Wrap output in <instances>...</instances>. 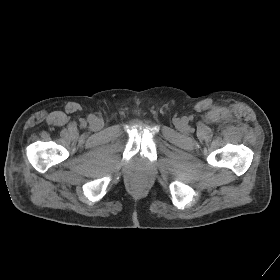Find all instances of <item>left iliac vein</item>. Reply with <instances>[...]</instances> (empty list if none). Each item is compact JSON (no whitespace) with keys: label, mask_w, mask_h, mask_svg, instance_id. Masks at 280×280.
Instances as JSON below:
<instances>
[{"label":"left iliac vein","mask_w":280,"mask_h":280,"mask_svg":"<svg viewBox=\"0 0 280 280\" xmlns=\"http://www.w3.org/2000/svg\"><path fill=\"white\" fill-rule=\"evenodd\" d=\"M176 126L180 131H185L187 129V125L183 120L177 121Z\"/></svg>","instance_id":"obj_1"}]
</instances>
